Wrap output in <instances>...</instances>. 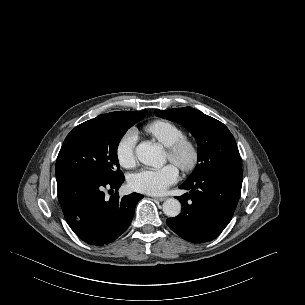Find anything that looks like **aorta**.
Instances as JSON below:
<instances>
[{
  "label": "aorta",
  "mask_w": 305,
  "mask_h": 305,
  "mask_svg": "<svg viewBox=\"0 0 305 305\" xmlns=\"http://www.w3.org/2000/svg\"><path fill=\"white\" fill-rule=\"evenodd\" d=\"M138 160L149 166L161 167L165 163V154L161 146L152 142H142L136 147ZM163 212L168 217H176L181 212V203L174 198H169L163 203Z\"/></svg>",
  "instance_id": "762f6f07"
}]
</instances>
